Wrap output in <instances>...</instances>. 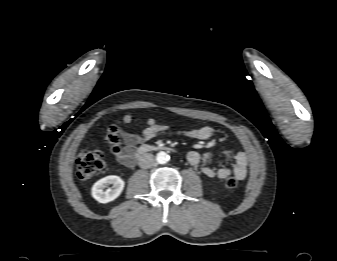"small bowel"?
Here are the masks:
<instances>
[{
    "mask_svg": "<svg viewBox=\"0 0 337 261\" xmlns=\"http://www.w3.org/2000/svg\"><path fill=\"white\" fill-rule=\"evenodd\" d=\"M121 120L125 123H130L134 120V116L132 114H125L121 116ZM143 121L146 126L140 134L129 133L121 128H118V134L124 144V147L117 154L116 158L117 161L124 166L130 167L133 165L135 153L142 144L159 135L166 134L170 130V126L158 124L153 118H146ZM213 133L214 129L211 126H202L178 132L179 135L197 140H207L213 135ZM213 157V152L199 153L193 150L188 152L187 161L194 167L201 166V173L209 178L224 179L231 174L239 180L246 177L248 159L245 152L240 151L236 153L231 168L222 167L217 169L208 165L209 161Z\"/></svg>",
    "mask_w": 337,
    "mask_h": 261,
    "instance_id": "1",
    "label": "small bowel"
}]
</instances>
